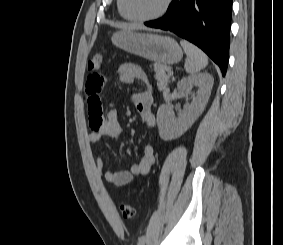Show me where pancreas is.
Listing matches in <instances>:
<instances>
[{"label": "pancreas", "mask_w": 283, "mask_h": 245, "mask_svg": "<svg viewBox=\"0 0 283 245\" xmlns=\"http://www.w3.org/2000/svg\"><path fill=\"white\" fill-rule=\"evenodd\" d=\"M153 69L155 72L154 77L157 80L158 89L161 91L165 90L171 76L166 74V71L170 70L171 68L161 63H155L153 65Z\"/></svg>", "instance_id": "1"}]
</instances>
